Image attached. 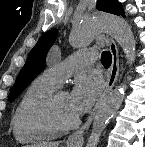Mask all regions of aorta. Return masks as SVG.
<instances>
[{"label": "aorta", "mask_w": 145, "mask_h": 147, "mask_svg": "<svg viewBox=\"0 0 145 147\" xmlns=\"http://www.w3.org/2000/svg\"><path fill=\"white\" fill-rule=\"evenodd\" d=\"M103 31L108 32L117 41L125 54L127 63L131 66L136 58V42L131 27L120 17L101 14L79 23L71 31V42L76 47L85 46ZM125 88V83L117 86L98 105L86 147H97L102 132L123 102Z\"/></svg>", "instance_id": "obj_1"}]
</instances>
